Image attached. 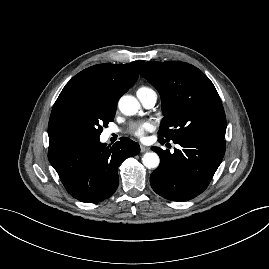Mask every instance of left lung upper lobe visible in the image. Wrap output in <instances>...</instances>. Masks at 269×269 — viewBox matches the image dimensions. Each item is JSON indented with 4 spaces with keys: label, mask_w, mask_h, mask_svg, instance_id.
Here are the masks:
<instances>
[{
    "label": "left lung upper lobe",
    "mask_w": 269,
    "mask_h": 269,
    "mask_svg": "<svg viewBox=\"0 0 269 269\" xmlns=\"http://www.w3.org/2000/svg\"><path fill=\"white\" fill-rule=\"evenodd\" d=\"M160 93L164 118L159 141L193 137L225 138L226 117L210 79L185 62H147L141 71Z\"/></svg>",
    "instance_id": "obj_1"
}]
</instances>
